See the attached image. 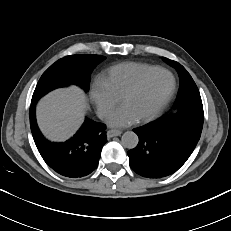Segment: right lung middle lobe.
<instances>
[{
	"mask_svg": "<svg viewBox=\"0 0 231 231\" xmlns=\"http://www.w3.org/2000/svg\"><path fill=\"white\" fill-rule=\"evenodd\" d=\"M104 59V56L93 54L71 55L59 59L41 76L31 104H36L39 98L58 87L76 84L87 90L91 71Z\"/></svg>",
	"mask_w": 231,
	"mask_h": 231,
	"instance_id": "right-lung-middle-lobe-1",
	"label": "right lung middle lobe"
}]
</instances>
